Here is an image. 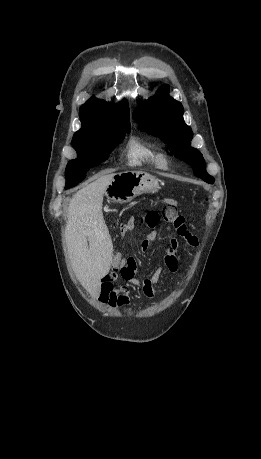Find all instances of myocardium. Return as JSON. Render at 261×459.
Wrapping results in <instances>:
<instances>
[{
  "label": "myocardium",
  "mask_w": 261,
  "mask_h": 459,
  "mask_svg": "<svg viewBox=\"0 0 261 459\" xmlns=\"http://www.w3.org/2000/svg\"><path fill=\"white\" fill-rule=\"evenodd\" d=\"M157 163H158V168L163 169V170L169 169L170 167L169 155L164 151H160L158 154Z\"/></svg>",
  "instance_id": "obj_1"
}]
</instances>
